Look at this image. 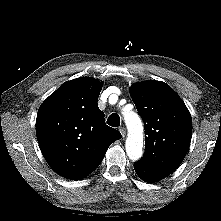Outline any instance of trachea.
<instances>
[{
  "mask_svg": "<svg viewBox=\"0 0 221 221\" xmlns=\"http://www.w3.org/2000/svg\"><path fill=\"white\" fill-rule=\"evenodd\" d=\"M107 124L112 127H118L120 126V117L118 114L113 113L111 114L107 119Z\"/></svg>",
  "mask_w": 221,
  "mask_h": 221,
  "instance_id": "trachea-1",
  "label": "trachea"
}]
</instances>
